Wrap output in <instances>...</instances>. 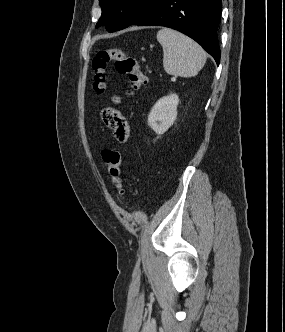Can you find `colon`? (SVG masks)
<instances>
[{
    "label": "colon",
    "mask_w": 285,
    "mask_h": 332,
    "mask_svg": "<svg viewBox=\"0 0 285 332\" xmlns=\"http://www.w3.org/2000/svg\"><path fill=\"white\" fill-rule=\"evenodd\" d=\"M111 63L114 64L118 73L127 75L130 84L127 91L129 96H134L147 83V78L135 58L129 56L119 47L104 48L96 52L92 61L94 72L93 89L97 94H102L105 91L106 70ZM102 157L113 185L117 189L118 194L122 195L121 158L119 152L114 149H105Z\"/></svg>",
    "instance_id": "1"
}]
</instances>
